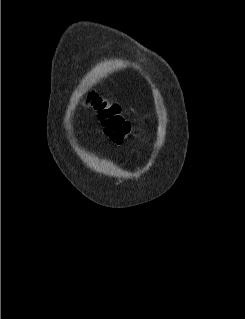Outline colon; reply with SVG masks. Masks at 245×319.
I'll return each instance as SVG.
<instances>
[{
    "instance_id": "1",
    "label": "colon",
    "mask_w": 245,
    "mask_h": 319,
    "mask_svg": "<svg viewBox=\"0 0 245 319\" xmlns=\"http://www.w3.org/2000/svg\"><path fill=\"white\" fill-rule=\"evenodd\" d=\"M89 101L104 124L105 134L116 144H122L131 134L130 122L121 115L120 107L91 93Z\"/></svg>"
}]
</instances>
